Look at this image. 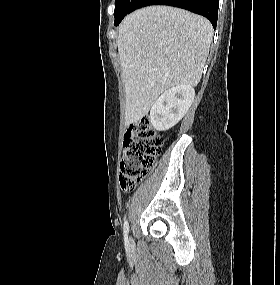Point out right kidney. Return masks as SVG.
Wrapping results in <instances>:
<instances>
[{
  "label": "right kidney",
  "mask_w": 280,
  "mask_h": 285,
  "mask_svg": "<svg viewBox=\"0 0 280 285\" xmlns=\"http://www.w3.org/2000/svg\"><path fill=\"white\" fill-rule=\"evenodd\" d=\"M195 97L191 85H177L165 91L152 105L150 122L154 129L166 131L187 113Z\"/></svg>",
  "instance_id": "1"
}]
</instances>
